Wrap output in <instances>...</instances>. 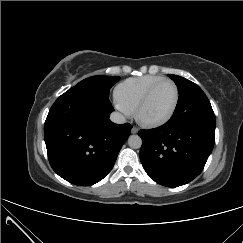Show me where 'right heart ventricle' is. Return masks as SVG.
Segmentation results:
<instances>
[{
	"instance_id": "e07e8e85",
	"label": "right heart ventricle",
	"mask_w": 243,
	"mask_h": 243,
	"mask_svg": "<svg viewBox=\"0 0 243 243\" xmlns=\"http://www.w3.org/2000/svg\"><path fill=\"white\" fill-rule=\"evenodd\" d=\"M163 79V76L149 74L126 79L116 86L115 98L121 106L133 113L148 89Z\"/></svg>"
}]
</instances>
